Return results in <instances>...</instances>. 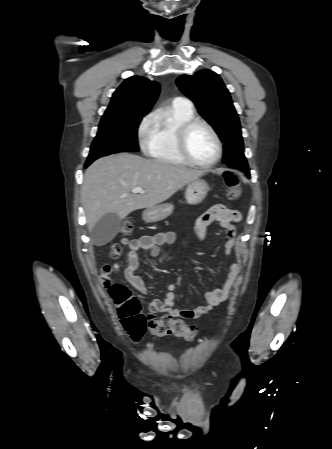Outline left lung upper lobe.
Here are the masks:
<instances>
[{
  "instance_id": "5c2ea615",
  "label": "left lung upper lobe",
  "mask_w": 332,
  "mask_h": 449,
  "mask_svg": "<svg viewBox=\"0 0 332 449\" xmlns=\"http://www.w3.org/2000/svg\"><path fill=\"white\" fill-rule=\"evenodd\" d=\"M176 82L224 143L223 162L249 177L238 114L220 76L210 70H201L194 75H182Z\"/></svg>"
}]
</instances>
